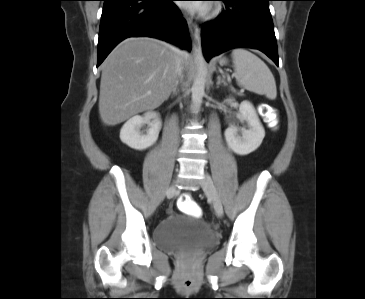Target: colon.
Masks as SVG:
<instances>
[{
    "label": "colon",
    "instance_id": "1",
    "mask_svg": "<svg viewBox=\"0 0 365 299\" xmlns=\"http://www.w3.org/2000/svg\"><path fill=\"white\" fill-rule=\"evenodd\" d=\"M266 114H269L271 116V118H270L271 123H276L277 122L276 116H275L273 110L268 111ZM177 206L181 211L192 214V215H199V213H200L199 206L194 201L192 196L190 194H187V193L182 194L178 198Z\"/></svg>",
    "mask_w": 365,
    "mask_h": 299
}]
</instances>
